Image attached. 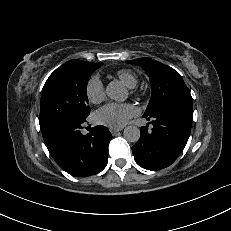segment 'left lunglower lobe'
<instances>
[{"instance_id":"1","label":"left lung lower lobe","mask_w":231,"mask_h":231,"mask_svg":"<svg viewBox=\"0 0 231 231\" xmlns=\"http://www.w3.org/2000/svg\"><path fill=\"white\" fill-rule=\"evenodd\" d=\"M192 104L170 103L143 115L153 128L141 127V136L132 147L136 163L144 169L170 166L182 153L191 131Z\"/></svg>"}]
</instances>
